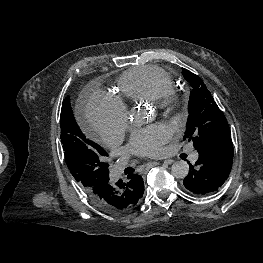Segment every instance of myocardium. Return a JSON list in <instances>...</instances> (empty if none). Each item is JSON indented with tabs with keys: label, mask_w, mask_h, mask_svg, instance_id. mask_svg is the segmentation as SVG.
Here are the masks:
<instances>
[{
	"label": "myocardium",
	"mask_w": 263,
	"mask_h": 263,
	"mask_svg": "<svg viewBox=\"0 0 263 263\" xmlns=\"http://www.w3.org/2000/svg\"><path fill=\"white\" fill-rule=\"evenodd\" d=\"M182 102L181 96L174 89L165 90L151 100L155 108L166 112L177 111L181 107Z\"/></svg>",
	"instance_id": "1"
}]
</instances>
